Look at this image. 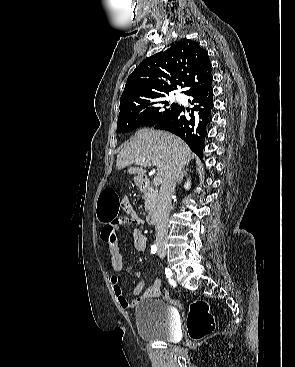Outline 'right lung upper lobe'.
<instances>
[{
	"label": "right lung upper lobe",
	"mask_w": 295,
	"mask_h": 367,
	"mask_svg": "<svg viewBox=\"0 0 295 367\" xmlns=\"http://www.w3.org/2000/svg\"><path fill=\"white\" fill-rule=\"evenodd\" d=\"M211 80L208 54L198 42H176L143 60L131 73L120 99V111L130 102L154 99L177 88H185L187 94Z\"/></svg>",
	"instance_id": "1"
}]
</instances>
